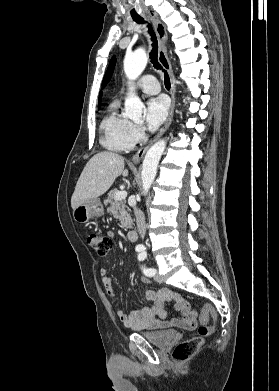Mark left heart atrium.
Instances as JSON below:
<instances>
[{"label":"left heart atrium","instance_id":"left-heart-atrium-1","mask_svg":"<svg viewBox=\"0 0 279 391\" xmlns=\"http://www.w3.org/2000/svg\"><path fill=\"white\" fill-rule=\"evenodd\" d=\"M169 103L164 96L148 100L145 110L146 124L150 129L157 128L167 117Z\"/></svg>","mask_w":279,"mask_h":391}]
</instances>
